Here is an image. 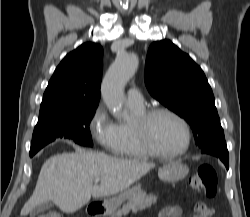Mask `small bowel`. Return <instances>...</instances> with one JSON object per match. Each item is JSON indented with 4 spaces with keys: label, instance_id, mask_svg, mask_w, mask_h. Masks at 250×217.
Here are the masks:
<instances>
[{
    "label": "small bowel",
    "instance_id": "c3829d8e",
    "mask_svg": "<svg viewBox=\"0 0 250 217\" xmlns=\"http://www.w3.org/2000/svg\"><path fill=\"white\" fill-rule=\"evenodd\" d=\"M182 210L177 205L167 206L160 210L158 217H181Z\"/></svg>",
    "mask_w": 250,
    "mask_h": 217
}]
</instances>
